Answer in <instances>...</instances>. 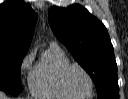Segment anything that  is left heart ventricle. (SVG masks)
I'll use <instances>...</instances> for the list:
<instances>
[{"mask_svg":"<svg viewBox=\"0 0 128 99\" xmlns=\"http://www.w3.org/2000/svg\"><path fill=\"white\" fill-rule=\"evenodd\" d=\"M65 84L68 90L77 96L86 95L90 88L87 77L76 67L70 68L66 73Z\"/></svg>","mask_w":128,"mask_h":99,"instance_id":"b2bd125f","label":"left heart ventricle"}]
</instances>
